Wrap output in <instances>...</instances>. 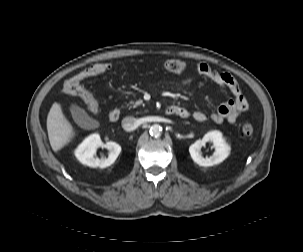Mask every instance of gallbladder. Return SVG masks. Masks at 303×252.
<instances>
[{
  "mask_svg": "<svg viewBox=\"0 0 303 252\" xmlns=\"http://www.w3.org/2000/svg\"><path fill=\"white\" fill-rule=\"evenodd\" d=\"M70 112L75 123L82 127L87 128L91 122V117L87 114V112L81 108L79 105L73 103L70 106Z\"/></svg>",
  "mask_w": 303,
  "mask_h": 252,
  "instance_id": "1",
  "label": "gallbladder"
}]
</instances>
